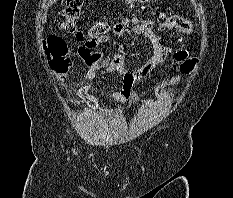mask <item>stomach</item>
<instances>
[{
    "instance_id": "stomach-1",
    "label": "stomach",
    "mask_w": 233,
    "mask_h": 198,
    "mask_svg": "<svg viewBox=\"0 0 233 198\" xmlns=\"http://www.w3.org/2000/svg\"><path fill=\"white\" fill-rule=\"evenodd\" d=\"M137 1H139L141 3H146V2H149L150 0H125V2L128 4H132V3H135Z\"/></svg>"
}]
</instances>
